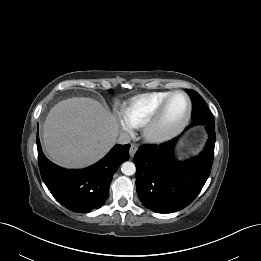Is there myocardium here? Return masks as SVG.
Returning <instances> with one entry per match:
<instances>
[{"label": "myocardium", "mask_w": 261, "mask_h": 261, "mask_svg": "<svg viewBox=\"0 0 261 261\" xmlns=\"http://www.w3.org/2000/svg\"><path fill=\"white\" fill-rule=\"evenodd\" d=\"M175 95H182L187 101V112L184 119L170 130H162L161 124L166 109ZM192 115V102L187 93L181 90L171 92L161 103L153 117L143 126V137L150 143H162L179 135L188 125Z\"/></svg>", "instance_id": "1"}]
</instances>
